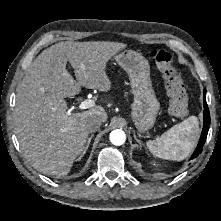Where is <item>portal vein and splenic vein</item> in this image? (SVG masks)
Segmentation results:
<instances>
[{"label": "portal vein and splenic vein", "mask_w": 221, "mask_h": 221, "mask_svg": "<svg viewBox=\"0 0 221 221\" xmlns=\"http://www.w3.org/2000/svg\"><path fill=\"white\" fill-rule=\"evenodd\" d=\"M95 106V101L88 99V100H84L79 104V109L80 110H84V109H88ZM70 113V112H69Z\"/></svg>", "instance_id": "18ae733b"}]
</instances>
